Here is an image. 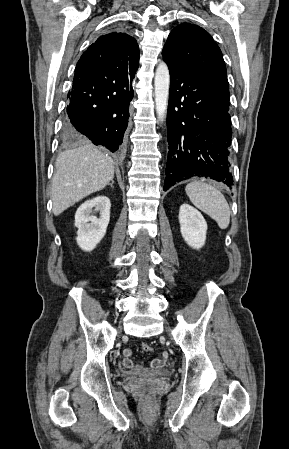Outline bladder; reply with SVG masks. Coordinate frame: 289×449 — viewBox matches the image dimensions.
<instances>
[{"label": "bladder", "instance_id": "1", "mask_svg": "<svg viewBox=\"0 0 289 449\" xmlns=\"http://www.w3.org/2000/svg\"><path fill=\"white\" fill-rule=\"evenodd\" d=\"M172 374L170 369H158V370H128L121 371L119 376L123 379H135L140 377H158L166 378Z\"/></svg>", "mask_w": 289, "mask_h": 449}]
</instances>
